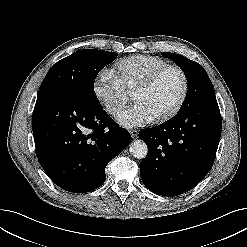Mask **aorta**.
<instances>
[{
  "instance_id": "obj_1",
  "label": "aorta",
  "mask_w": 247,
  "mask_h": 247,
  "mask_svg": "<svg viewBox=\"0 0 247 247\" xmlns=\"http://www.w3.org/2000/svg\"><path fill=\"white\" fill-rule=\"evenodd\" d=\"M129 152L137 159H143L147 156L148 148L144 141L134 140L129 145Z\"/></svg>"
}]
</instances>
